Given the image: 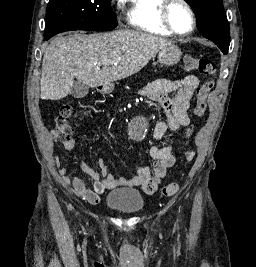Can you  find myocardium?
Segmentation results:
<instances>
[{
	"mask_svg": "<svg viewBox=\"0 0 256 267\" xmlns=\"http://www.w3.org/2000/svg\"><path fill=\"white\" fill-rule=\"evenodd\" d=\"M173 3H178L182 5L189 12L191 16V29L188 32H185V33L178 32L173 26V24L171 23V20L169 18V10ZM160 19H161L162 24L165 26V28H167L172 34L179 36V37L190 36L196 28L195 13L193 12L192 8L184 0H166L165 4L163 5L161 14H160Z\"/></svg>",
	"mask_w": 256,
	"mask_h": 267,
	"instance_id": "f54148a6",
	"label": "myocardium"
}]
</instances>
